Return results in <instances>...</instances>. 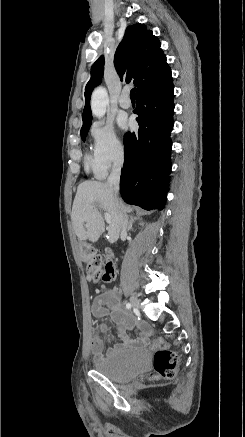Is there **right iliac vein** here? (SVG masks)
I'll return each mask as SVG.
<instances>
[{
	"instance_id": "right-iliac-vein-1",
	"label": "right iliac vein",
	"mask_w": 245,
	"mask_h": 437,
	"mask_svg": "<svg viewBox=\"0 0 245 437\" xmlns=\"http://www.w3.org/2000/svg\"><path fill=\"white\" fill-rule=\"evenodd\" d=\"M130 303L134 308H139L140 307V301L137 297L135 296H131L130 297Z\"/></svg>"
}]
</instances>
